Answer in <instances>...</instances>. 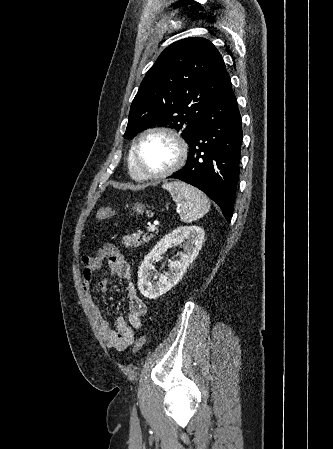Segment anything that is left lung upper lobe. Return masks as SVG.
I'll return each instance as SVG.
<instances>
[{
	"label": "left lung upper lobe",
	"instance_id": "left-lung-upper-lobe-1",
	"mask_svg": "<svg viewBox=\"0 0 333 449\" xmlns=\"http://www.w3.org/2000/svg\"><path fill=\"white\" fill-rule=\"evenodd\" d=\"M229 79L221 54L209 40L190 37L172 43L146 73L124 137L162 124L180 131L190 144L206 108Z\"/></svg>",
	"mask_w": 333,
	"mask_h": 449
}]
</instances>
